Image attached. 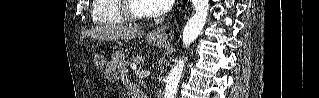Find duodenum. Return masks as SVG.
Masks as SVG:
<instances>
[{"label":"duodenum","mask_w":319,"mask_h":98,"mask_svg":"<svg viewBox=\"0 0 319 98\" xmlns=\"http://www.w3.org/2000/svg\"><path fill=\"white\" fill-rule=\"evenodd\" d=\"M133 92L136 98H147L146 95L138 87H134Z\"/></svg>","instance_id":"duodenum-1"}]
</instances>
